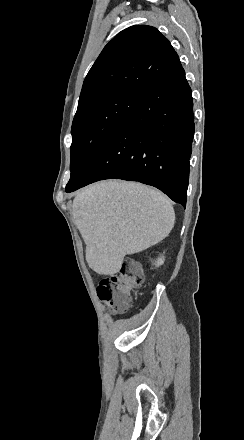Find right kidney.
<instances>
[{
    "label": "right kidney",
    "mask_w": 244,
    "mask_h": 440,
    "mask_svg": "<svg viewBox=\"0 0 244 440\" xmlns=\"http://www.w3.org/2000/svg\"><path fill=\"white\" fill-rule=\"evenodd\" d=\"M162 264H164V256H161V258H158V260H156L154 266H156V268H159V266H162Z\"/></svg>",
    "instance_id": "right-kidney-1"
}]
</instances>
